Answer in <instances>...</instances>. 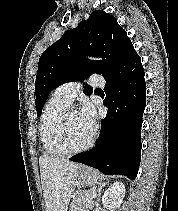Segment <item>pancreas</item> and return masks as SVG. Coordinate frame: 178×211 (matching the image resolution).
Segmentation results:
<instances>
[{
	"label": "pancreas",
	"mask_w": 178,
	"mask_h": 211,
	"mask_svg": "<svg viewBox=\"0 0 178 211\" xmlns=\"http://www.w3.org/2000/svg\"><path fill=\"white\" fill-rule=\"evenodd\" d=\"M93 194V190L77 193L76 197L71 203L70 211H88V209L92 208L95 204L92 198Z\"/></svg>",
	"instance_id": "obj_1"
}]
</instances>
